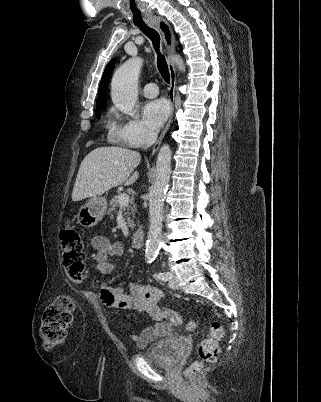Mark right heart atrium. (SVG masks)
<instances>
[{
  "label": "right heart atrium",
  "mask_w": 321,
  "mask_h": 402,
  "mask_svg": "<svg viewBox=\"0 0 321 402\" xmlns=\"http://www.w3.org/2000/svg\"><path fill=\"white\" fill-rule=\"evenodd\" d=\"M112 114L116 115L117 111L113 109ZM154 137V133L141 120L133 117H126L122 122L115 124L110 135L111 139L132 148L143 147Z\"/></svg>",
  "instance_id": "1"
}]
</instances>
